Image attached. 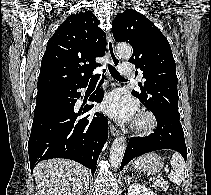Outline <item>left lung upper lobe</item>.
<instances>
[{
  "mask_svg": "<svg viewBox=\"0 0 211 195\" xmlns=\"http://www.w3.org/2000/svg\"><path fill=\"white\" fill-rule=\"evenodd\" d=\"M112 33L115 41L130 43L133 54L129 62L139 68L146 80L138 84L140 91H133L132 95L153 113L180 118L175 61L165 36L133 9L115 17Z\"/></svg>",
  "mask_w": 211,
  "mask_h": 195,
  "instance_id": "left-lung-upper-lobe-1",
  "label": "left lung upper lobe"
}]
</instances>
